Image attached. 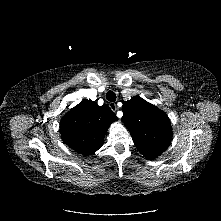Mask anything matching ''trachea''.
<instances>
[{"mask_svg":"<svg viewBox=\"0 0 221 221\" xmlns=\"http://www.w3.org/2000/svg\"><path fill=\"white\" fill-rule=\"evenodd\" d=\"M106 99L110 102H115L116 101V94L113 91H108L106 93Z\"/></svg>","mask_w":221,"mask_h":221,"instance_id":"obj_1","label":"trachea"}]
</instances>
